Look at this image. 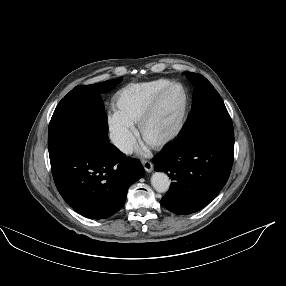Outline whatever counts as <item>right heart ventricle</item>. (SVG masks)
<instances>
[{
    "label": "right heart ventricle",
    "mask_w": 286,
    "mask_h": 286,
    "mask_svg": "<svg viewBox=\"0 0 286 286\" xmlns=\"http://www.w3.org/2000/svg\"><path fill=\"white\" fill-rule=\"evenodd\" d=\"M171 83L172 81L169 79L160 78L129 84L116 95V109L133 124L138 123L139 118L152 98Z\"/></svg>",
    "instance_id": "e07e8e85"
}]
</instances>
